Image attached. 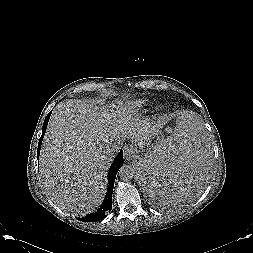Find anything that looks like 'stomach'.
Segmentation results:
<instances>
[{"label": "stomach", "mask_w": 253, "mask_h": 253, "mask_svg": "<svg viewBox=\"0 0 253 253\" xmlns=\"http://www.w3.org/2000/svg\"><path fill=\"white\" fill-rule=\"evenodd\" d=\"M164 138L162 136L159 135V133H156V134H152L149 139L146 141V145L150 144L153 140H154V146L152 147V149L147 152L145 155L141 156L139 158V161L137 162V172H138V180H139V183H140V179H139V176H140V171L142 169V167L150 160L153 159L154 155L156 154L157 152V149H158V146L160 144V142L163 140ZM202 185V184H201ZM202 188V186L199 187V189L196 191L198 192L200 189ZM195 192V193H196ZM195 193H193L192 195H194Z\"/></svg>", "instance_id": "0dacf381"}]
</instances>
